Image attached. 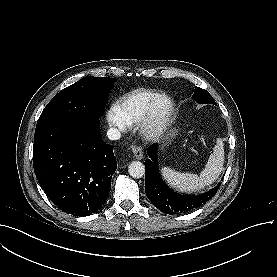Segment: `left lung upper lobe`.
<instances>
[{"instance_id":"obj_1","label":"left lung upper lobe","mask_w":277,"mask_h":277,"mask_svg":"<svg viewBox=\"0 0 277 277\" xmlns=\"http://www.w3.org/2000/svg\"><path fill=\"white\" fill-rule=\"evenodd\" d=\"M194 100H196L200 104H214L216 105V102L212 98V96L206 91L205 89H202L200 87H197L195 89V93L193 95Z\"/></svg>"}]
</instances>
